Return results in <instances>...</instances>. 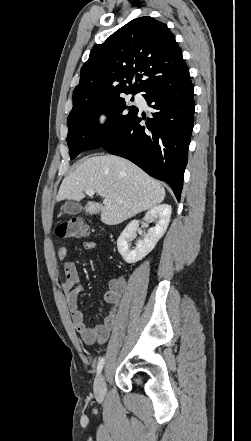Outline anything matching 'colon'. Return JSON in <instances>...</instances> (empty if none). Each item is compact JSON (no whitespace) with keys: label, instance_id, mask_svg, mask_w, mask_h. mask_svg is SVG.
Wrapping results in <instances>:
<instances>
[{"label":"colon","instance_id":"5ec220e1","mask_svg":"<svg viewBox=\"0 0 251 441\" xmlns=\"http://www.w3.org/2000/svg\"><path fill=\"white\" fill-rule=\"evenodd\" d=\"M56 234L60 238L84 239L91 235V229L83 219L73 218L60 223L56 227Z\"/></svg>","mask_w":251,"mask_h":441}]
</instances>
